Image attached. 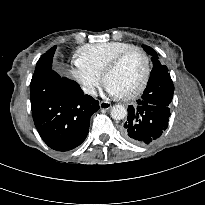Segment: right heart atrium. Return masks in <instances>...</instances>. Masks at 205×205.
Instances as JSON below:
<instances>
[{
	"label": "right heart atrium",
	"instance_id": "d8ad5b80",
	"mask_svg": "<svg viewBox=\"0 0 205 205\" xmlns=\"http://www.w3.org/2000/svg\"><path fill=\"white\" fill-rule=\"evenodd\" d=\"M73 78L79 83L82 90L88 95H94L100 83V76L80 64L77 60L71 71Z\"/></svg>",
	"mask_w": 205,
	"mask_h": 205
}]
</instances>
